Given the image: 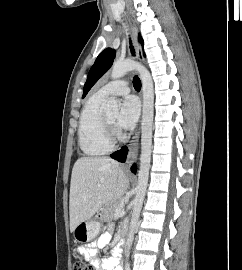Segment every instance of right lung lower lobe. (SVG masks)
<instances>
[{
    "label": "right lung lower lobe",
    "mask_w": 242,
    "mask_h": 270,
    "mask_svg": "<svg viewBox=\"0 0 242 270\" xmlns=\"http://www.w3.org/2000/svg\"><path fill=\"white\" fill-rule=\"evenodd\" d=\"M131 170H132V172L136 173V165H133Z\"/></svg>",
    "instance_id": "obj_1"
}]
</instances>
